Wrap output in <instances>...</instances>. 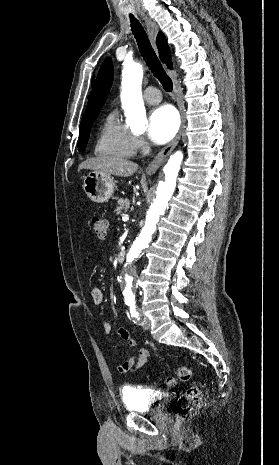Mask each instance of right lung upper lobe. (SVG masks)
Masks as SVG:
<instances>
[{
    "label": "right lung upper lobe",
    "mask_w": 279,
    "mask_h": 465,
    "mask_svg": "<svg viewBox=\"0 0 279 465\" xmlns=\"http://www.w3.org/2000/svg\"><path fill=\"white\" fill-rule=\"evenodd\" d=\"M157 46L159 48L160 58L163 63H166L168 68H172L171 54L169 46L166 42L165 36L162 33L158 34ZM113 81V67L110 58H107L98 73L94 89L92 90L89 103L80 128L90 125L98 116L102 106L104 105L108 96L110 87Z\"/></svg>",
    "instance_id": "right-lung-upper-lobe-1"
}]
</instances>
